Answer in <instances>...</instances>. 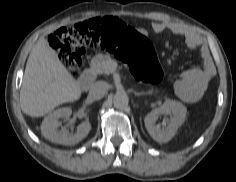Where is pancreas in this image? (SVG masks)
Returning <instances> with one entry per match:
<instances>
[{"label":"pancreas","instance_id":"pancreas-1","mask_svg":"<svg viewBox=\"0 0 236 182\" xmlns=\"http://www.w3.org/2000/svg\"><path fill=\"white\" fill-rule=\"evenodd\" d=\"M115 70L109 55L97 54L91 60V71L96 74H111Z\"/></svg>","mask_w":236,"mask_h":182}]
</instances>
